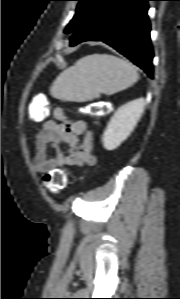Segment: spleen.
Returning <instances> with one entry per match:
<instances>
[{"label": "spleen", "instance_id": "spleen-1", "mask_svg": "<svg viewBox=\"0 0 180 299\" xmlns=\"http://www.w3.org/2000/svg\"><path fill=\"white\" fill-rule=\"evenodd\" d=\"M138 78L130 62L110 54H92L61 72L51 86V95L62 101L85 102L122 91Z\"/></svg>", "mask_w": 180, "mask_h": 299}]
</instances>
